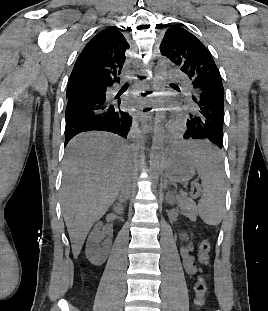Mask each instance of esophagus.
<instances>
[{
  "label": "esophagus",
  "instance_id": "34e87169",
  "mask_svg": "<svg viewBox=\"0 0 268 311\" xmlns=\"http://www.w3.org/2000/svg\"><path fill=\"white\" fill-rule=\"evenodd\" d=\"M151 90H152V85H147L146 91L145 90L141 91L142 97H147V95L150 94ZM143 109H144L143 107H140L138 109L136 113V118L142 124V128L145 132H152L154 131L153 120L151 116H149L146 112L143 111Z\"/></svg>",
  "mask_w": 268,
  "mask_h": 311
}]
</instances>
